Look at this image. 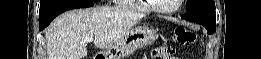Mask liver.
<instances>
[{
	"label": "liver",
	"instance_id": "6515ba94",
	"mask_svg": "<svg viewBox=\"0 0 261 59\" xmlns=\"http://www.w3.org/2000/svg\"><path fill=\"white\" fill-rule=\"evenodd\" d=\"M143 14L111 7H93L65 12L46 29L47 59H84L85 38L92 36L99 49L112 47Z\"/></svg>",
	"mask_w": 261,
	"mask_h": 59
}]
</instances>
